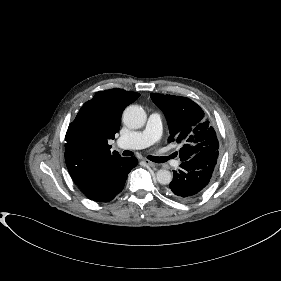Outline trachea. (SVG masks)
Instances as JSON below:
<instances>
[{
  "mask_svg": "<svg viewBox=\"0 0 281 281\" xmlns=\"http://www.w3.org/2000/svg\"><path fill=\"white\" fill-rule=\"evenodd\" d=\"M123 156H132L134 155V153L132 151L129 150H125L122 152ZM173 158L172 155L168 156V157H156V156H148V159L156 162V163H164L166 161H168L169 159Z\"/></svg>",
  "mask_w": 281,
  "mask_h": 281,
  "instance_id": "1",
  "label": "trachea"
}]
</instances>
